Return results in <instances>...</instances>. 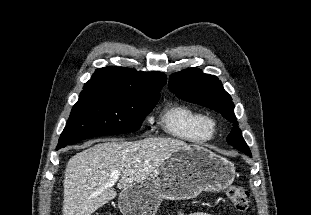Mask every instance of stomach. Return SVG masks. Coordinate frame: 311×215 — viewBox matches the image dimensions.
I'll list each match as a JSON object with an SVG mask.
<instances>
[{
  "mask_svg": "<svg viewBox=\"0 0 311 215\" xmlns=\"http://www.w3.org/2000/svg\"><path fill=\"white\" fill-rule=\"evenodd\" d=\"M235 168L226 158L198 145L174 152L149 177L122 190V215H155L163 199L186 200L204 191H220L232 184Z\"/></svg>",
  "mask_w": 311,
  "mask_h": 215,
  "instance_id": "0dacf381",
  "label": "stomach"
}]
</instances>
